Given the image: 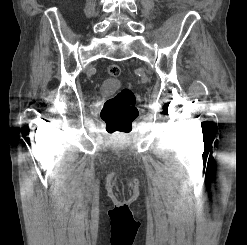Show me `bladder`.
Segmentation results:
<instances>
[{"label": "bladder", "mask_w": 247, "mask_h": 245, "mask_svg": "<svg viewBox=\"0 0 247 245\" xmlns=\"http://www.w3.org/2000/svg\"><path fill=\"white\" fill-rule=\"evenodd\" d=\"M120 86V82L115 78H106L100 87L102 93H110Z\"/></svg>", "instance_id": "31cf9c89"}]
</instances>
